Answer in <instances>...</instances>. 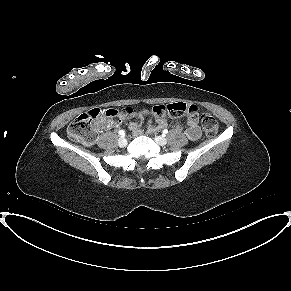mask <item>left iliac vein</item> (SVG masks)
<instances>
[{
  "mask_svg": "<svg viewBox=\"0 0 291 291\" xmlns=\"http://www.w3.org/2000/svg\"><path fill=\"white\" fill-rule=\"evenodd\" d=\"M155 141H156L159 145H161V146H164V145L167 144V139H166L165 137H163V136H157V137L155 138Z\"/></svg>",
  "mask_w": 291,
  "mask_h": 291,
  "instance_id": "left-iliac-vein-1",
  "label": "left iliac vein"
}]
</instances>
